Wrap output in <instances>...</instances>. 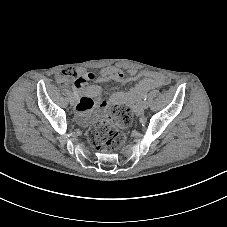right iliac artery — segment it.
Masks as SVG:
<instances>
[{"label": "right iliac artery", "instance_id": "82829eb1", "mask_svg": "<svg viewBox=\"0 0 227 227\" xmlns=\"http://www.w3.org/2000/svg\"><path fill=\"white\" fill-rule=\"evenodd\" d=\"M71 89L73 91L74 97L76 98L77 101H79L78 94H77V91H76V87L75 86H71Z\"/></svg>", "mask_w": 227, "mask_h": 227}]
</instances>
